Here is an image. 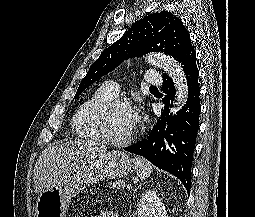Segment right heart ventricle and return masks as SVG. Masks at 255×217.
I'll list each match as a JSON object with an SVG mask.
<instances>
[{"label":"right heart ventricle","mask_w":255,"mask_h":217,"mask_svg":"<svg viewBox=\"0 0 255 217\" xmlns=\"http://www.w3.org/2000/svg\"><path fill=\"white\" fill-rule=\"evenodd\" d=\"M113 98L102 86L78 106L72 117L71 124L79 138L93 141L102 140L95 126L94 115L99 107Z\"/></svg>","instance_id":"right-heart-ventricle-1"}]
</instances>
